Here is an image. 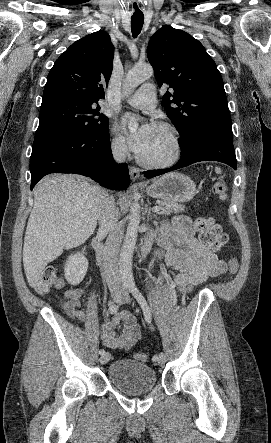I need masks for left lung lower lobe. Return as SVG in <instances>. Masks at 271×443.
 <instances>
[{
    "label": "left lung lower lobe",
    "mask_w": 271,
    "mask_h": 443,
    "mask_svg": "<svg viewBox=\"0 0 271 443\" xmlns=\"http://www.w3.org/2000/svg\"><path fill=\"white\" fill-rule=\"evenodd\" d=\"M181 157L172 168L149 170L144 172L146 178H152L199 161H219L237 168L233 147L231 125L205 123L189 135L187 141L179 142Z\"/></svg>",
    "instance_id": "obj_1"
}]
</instances>
